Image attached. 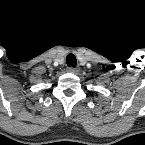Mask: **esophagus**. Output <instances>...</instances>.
Masks as SVG:
<instances>
[{
  "label": "esophagus",
  "mask_w": 145,
  "mask_h": 145,
  "mask_svg": "<svg viewBox=\"0 0 145 145\" xmlns=\"http://www.w3.org/2000/svg\"><path fill=\"white\" fill-rule=\"evenodd\" d=\"M67 71L70 72V73H77L79 71V69L78 68H74V67H68Z\"/></svg>",
  "instance_id": "obj_1"
}]
</instances>
